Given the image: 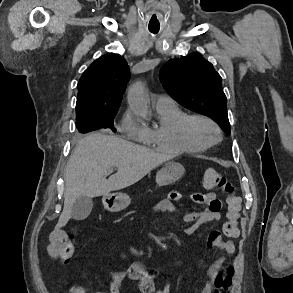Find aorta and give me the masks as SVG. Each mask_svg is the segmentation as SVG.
I'll return each mask as SVG.
<instances>
[{"mask_svg":"<svg viewBox=\"0 0 293 293\" xmlns=\"http://www.w3.org/2000/svg\"><path fill=\"white\" fill-rule=\"evenodd\" d=\"M129 103L131 108L140 115L149 112V101L142 83H135L129 89Z\"/></svg>","mask_w":293,"mask_h":293,"instance_id":"762f6f07","label":"aorta"}]
</instances>
